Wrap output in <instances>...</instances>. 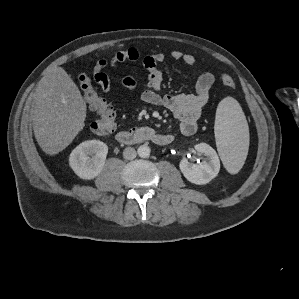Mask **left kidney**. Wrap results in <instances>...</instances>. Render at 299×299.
I'll list each match as a JSON object with an SVG mask.
<instances>
[{
    "label": "left kidney",
    "mask_w": 299,
    "mask_h": 299,
    "mask_svg": "<svg viewBox=\"0 0 299 299\" xmlns=\"http://www.w3.org/2000/svg\"><path fill=\"white\" fill-rule=\"evenodd\" d=\"M195 150L206 156L200 164H189L185 160L180 162V170L185 178L191 183L203 185L209 183L217 176L220 170V160L216 151L206 143H198Z\"/></svg>",
    "instance_id": "5707ae66"
}]
</instances>
